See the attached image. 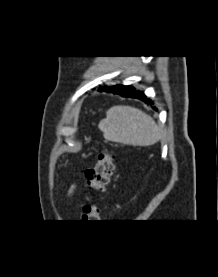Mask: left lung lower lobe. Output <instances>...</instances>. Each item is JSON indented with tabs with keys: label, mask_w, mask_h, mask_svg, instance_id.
Wrapping results in <instances>:
<instances>
[{
	"label": "left lung lower lobe",
	"mask_w": 218,
	"mask_h": 277,
	"mask_svg": "<svg viewBox=\"0 0 218 277\" xmlns=\"http://www.w3.org/2000/svg\"><path fill=\"white\" fill-rule=\"evenodd\" d=\"M100 91H105L113 94H119L124 97L136 98L144 101L145 103L153 104V102L147 98L143 92L135 91L134 88L130 86H112V87H101ZM157 110V109H156Z\"/></svg>",
	"instance_id": "0a47b994"
}]
</instances>
